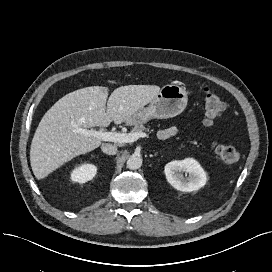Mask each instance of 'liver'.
I'll return each mask as SVG.
<instances>
[{"mask_svg":"<svg viewBox=\"0 0 272 272\" xmlns=\"http://www.w3.org/2000/svg\"><path fill=\"white\" fill-rule=\"evenodd\" d=\"M159 91L156 85H127L115 89L108 98L107 87L92 86L59 99L41 119L31 143L30 163L35 177L43 179L74 157L102 144L101 139L80 134L76 128L127 122Z\"/></svg>","mask_w":272,"mask_h":272,"instance_id":"6515ba94","label":"liver"}]
</instances>
